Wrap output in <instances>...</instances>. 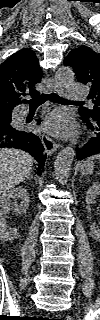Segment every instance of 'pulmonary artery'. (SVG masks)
<instances>
[{"instance_id":"pulmonary-artery-1","label":"pulmonary artery","mask_w":100,"mask_h":320,"mask_svg":"<svg viewBox=\"0 0 100 320\" xmlns=\"http://www.w3.org/2000/svg\"><path fill=\"white\" fill-rule=\"evenodd\" d=\"M68 89V99L70 100H83L87 97V90L81 84L73 83L68 86Z\"/></svg>"}]
</instances>
